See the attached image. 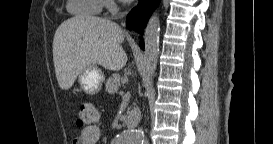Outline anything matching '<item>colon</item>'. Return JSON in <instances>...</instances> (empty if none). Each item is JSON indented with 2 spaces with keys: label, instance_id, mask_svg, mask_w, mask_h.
Listing matches in <instances>:
<instances>
[{
  "label": "colon",
  "instance_id": "1",
  "mask_svg": "<svg viewBox=\"0 0 273 144\" xmlns=\"http://www.w3.org/2000/svg\"><path fill=\"white\" fill-rule=\"evenodd\" d=\"M98 121V111L93 103L84 102L81 104L76 117V126L85 129L94 126Z\"/></svg>",
  "mask_w": 273,
  "mask_h": 144
}]
</instances>
